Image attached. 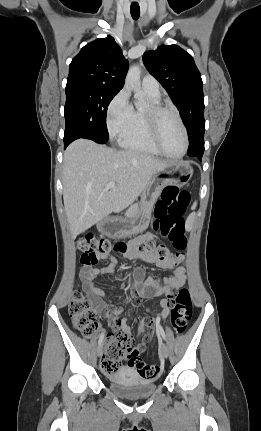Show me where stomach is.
Returning a JSON list of instances; mask_svg holds the SVG:
<instances>
[{"mask_svg": "<svg viewBox=\"0 0 261 431\" xmlns=\"http://www.w3.org/2000/svg\"><path fill=\"white\" fill-rule=\"evenodd\" d=\"M193 175V169L187 162H170L159 168L141 196L140 208L133 218H115L98 224L101 233L109 237L131 236L148 228L152 208L162 190L169 185L185 186Z\"/></svg>", "mask_w": 261, "mask_h": 431, "instance_id": "obj_1", "label": "stomach"}]
</instances>
